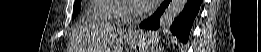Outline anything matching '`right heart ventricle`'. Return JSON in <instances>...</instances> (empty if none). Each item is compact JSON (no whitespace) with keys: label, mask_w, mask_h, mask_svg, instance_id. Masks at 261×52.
Masks as SVG:
<instances>
[{"label":"right heart ventricle","mask_w":261,"mask_h":52,"mask_svg":"<svg viewBox=\"0 0 261 52\" xmlns=\"http://www.w3.org/2000/svg\"><path fill=\"white\" fill-rule=\"evenodd\" d=\"M120 4L115 0H93L89 7V20L97 23L121 24L116 13Z\"/></svg>","instance_id":"obj_1"}]
</instances>
